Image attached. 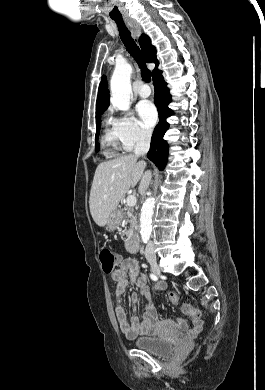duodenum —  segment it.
<instances>
[{
    "instance_id": "1",
    "label": "duodenum",
    "mask_w": 265,
    "mask_h": 390,
    "mask_svg": "<svg viewBox=\"0 0 265 390\" xmlns=\"http://www.w3.org/2000/svg\"><path fill=\"white\" fill-rule=\"evenodd\" d=\"M122 218L121 215H117V219L120 220ZM127 250L132 253H137L140 250L139 240L135 236H131L127 240Z\"/></svg>"
}]
</instances>
